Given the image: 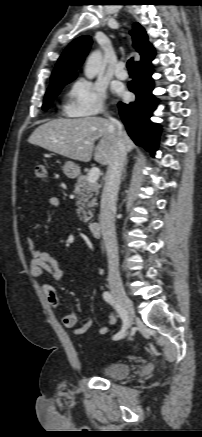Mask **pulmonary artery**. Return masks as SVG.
Instances as JSON below:
<instances>
[{
	"label": "pulmonary artery",
	"instance_id": "e3ab8cb5",
	"mask_svg": "<svg viewBox=\"0 0 202 437\" xmlns=\"http://www.w3.org/2000/svg\"><path fill=\"white\" fill-rule=\"evenodd\" d=\"M115 76L120 80H125L127 78V72L125 70V64L123 62H119L116 66Z\"/></svg>",
	"mask_w": 202,
	"mask_h": 437
}]
</instances>
